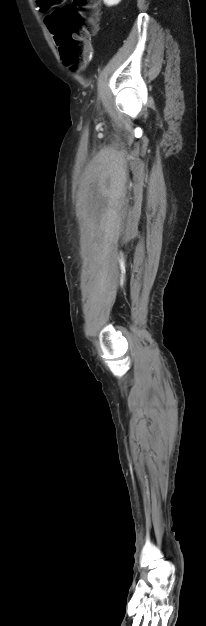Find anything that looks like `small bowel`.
Segmentation results:
<instances>
[{
    "label": "small bowel",
    "instance_id": "small-bowel-1",
    "mask_svg": "<svg viewBox=\"0 0 206 626\" xmlns=\"http://www.w3.org/2000/svg\"><path fill=\"white\" fill-rule=\"evenodd\" d=\"M40 1H41V0H39L38 2H39V5L41 6ZM46 25H47V26H48V28H49L48 17H47V19H46Z\"/></svg>",
    "mask_w": 206,
    "mask_h": 626
}]
</instances>
